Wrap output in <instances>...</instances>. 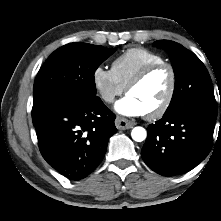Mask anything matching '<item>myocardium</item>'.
I'll use <instances>...</instances> for the list:
<instances>
[{"label":"myocardium","mask_w":221,"mask_h":221,"mask_svg":"<svg viewBox=\"0 0 221 221\" xmlns=\"http://www.w3.org/2000/svg\"><path fill=\"white\" fill-rule=\"evenodd\" d=\"M160 68H167L170 73V85L168 92L162 101V103L153 111L146 113V117L149 119H156L161 116H163L168 108L170 107L176 87H177V74L175 71V68L173 67L172 64L168 62H158V63H153L150 64L146 67H144L142 70H140L127 84L126 86V92L128 93L132 88L136 87L140 83H142L150 74H152L154 71L160 69Z\"/></svg>","instance_id":"f54148a6"}]
</instances>
